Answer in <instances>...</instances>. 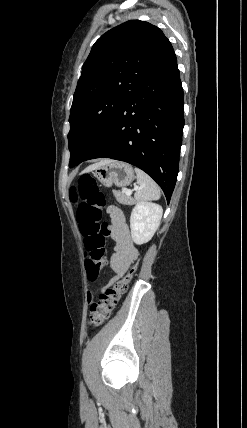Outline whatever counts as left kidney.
I'll return each instance as SVG.
<instances>
[{"label":"left kidney","mask_w":247,"mask_h":428,"mask_svg":"<svg viewBox=\"0 0 247 428\" xmlns=\"http://www.w3.org/2000/svg\"><path fill=\"white\" fill-rule=\"evenodd\" d=\"M163 209L156 203L141 201L130 216L131 237L135 244L142 245L151 240L160 225Z\"/></svg>","instance_id":"1"}]
</instances>
